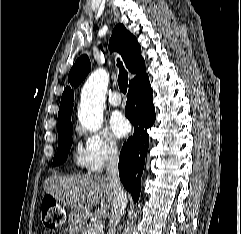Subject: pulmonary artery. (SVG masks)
<instances>
[{
  "label": "pulmonary artery",
  "instance_id": "obj_1",
  "mask_svg": "<svg viewBox=\"0 0 241 234\" xmlns=\"http://www.w3.org/2000/svg\"><path fill=\"white\" fill-rule=\"evenodd\" d=\"M122 100H121V96L118 92H113L109 95L108 98V103L113 106V107H117L121 104Z\"/></svg>",
  "mask_w": 241,
  "mask_h": 234
}]
</instances>
